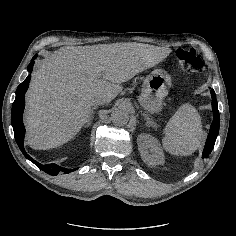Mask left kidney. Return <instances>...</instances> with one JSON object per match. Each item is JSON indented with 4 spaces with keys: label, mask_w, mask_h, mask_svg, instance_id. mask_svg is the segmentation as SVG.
<instances>
[{
    "label": "left kidney",
    "mask_w": 236,
    "mask_h": 236,
    "mask_svg": "<svg viewBox=\"0 0 236 236\" xmlns=\"http://www.w3.org/2000/svg\"><path fill=\"white\" fill-rule=\"evenodd\" d=\"M138 148L146 164L156 166L164 163L165 159L159 142L152 137L146 134L140 135L138 137Z\"/></svg>",
    "instance_id": "left-kidney-1"
}]
</instances>
